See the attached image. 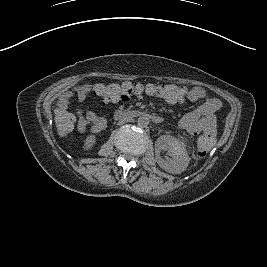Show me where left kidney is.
I'll return each instance as SVG.
<instances>
[{
	"label": "left kidney",
	"mask_w": 267,
	"mask_h": 267,
	"mask_svg": "<svg viewBox=\"0 0 267 267\" xmlns=\"http://www.w3.org/2000/svg\"><path fill=\"white\" fill-rule=\"evenodd\" d=\"M162 150L168 151L170 157L160 156ZM155 153V159L160 168L171 174H181L190 163L184 144L170 135H162L156 140Z\"/></svg>",
	"instance_id": "5707ae66"
}]
</instances>
